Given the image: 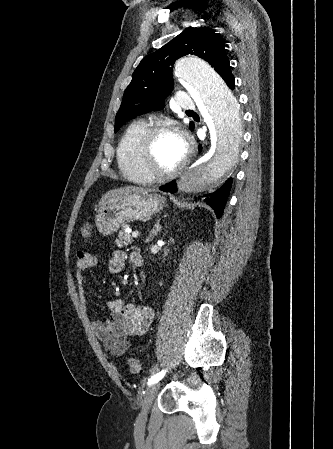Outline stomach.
Segmentation results:
<instances>
[{"mask_svg":"<svg viewBox=\"0 0 333 449\" xmlns=\"http://www.w3.org/2000/svg\"><path fill=\"white\" fill-rule=\"evenodd\" d=\"M165 200L156 193H133L107 200L97 211V229L109 235L130 221L149 219L162 210Z\"/></svg>","mask_w":333,"mask_h":449,"instance_id":"stomach-1","label":"stomach"}]
</instances>
